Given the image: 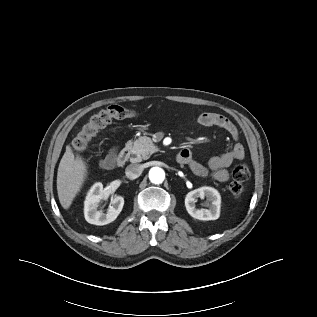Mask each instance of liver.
<instances>
[{
    "instance_id": "6515ba94",
    "label": "liver",
    "mask_w": 317,
    "mask_h": 317,
    "mask_svg": "<svg viewBox=\"0 0 317 317\" xmlns=\"http://www.w3.org/2000/svg\"><path fill=\"white\" fill-rule=\"evenodd\" d=\"M87 175V166L81 157H74L70 146L66 147L57 172V193L61 206L68 209Z\"/></svg>"
}]
</instances>
